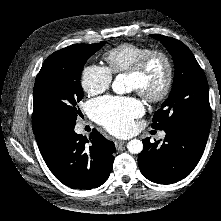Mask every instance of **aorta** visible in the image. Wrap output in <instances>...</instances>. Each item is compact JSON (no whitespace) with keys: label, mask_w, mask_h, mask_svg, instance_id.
Masks as SVG:
<instances>
[{"label":"aorta","mask_w":221,"mask_h":221,"mask_svg":"<svg viewBox=\"0 0 221 221\" xmlns=\"http://www.w3.org/2000/svg\"><path fill=\"white\" fill-rule=\"evenodd\" d=\"M125 75H118L114 79L112 83V89L117 94H123L128 92L127 87L125 85ZM128 151L132 154H138L141 153L143 150V143L139 139H132L127 144Z\"/></svg>","instance_id":"obj_1"}]
</instances>
